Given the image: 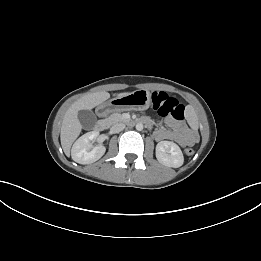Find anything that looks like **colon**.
Returning <instances> with one entry per match:
<instances>
[{"mask_svg": "<svg viewBox=\"0 0 261 261\" xmlns=\"http://www.w3.org/2000/svg\"><path fill=\"white\" fill-rule=\"evenodd\" d=\"M152 105L161 116L172 117L176 120L184 118V106L164 92L153 93ZM185 153L188 156H192L194 149L188 147L185 149Z\"/></svg>", "mask_w": 261, "mask_h": 261, "instance_id": "1", "label": "colon"}]
</instances>
